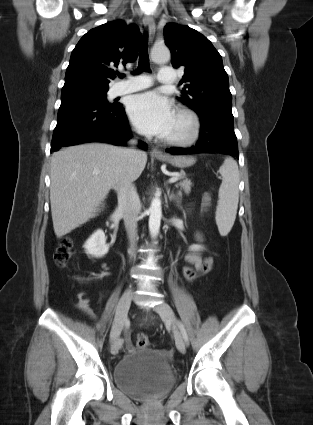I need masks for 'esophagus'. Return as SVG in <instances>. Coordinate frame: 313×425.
<instances>
[{
	"label": "esophagus",
	"mask_w": 313,
	"mask_h": 425,
	"mask_svg": "<svg viewBox=\"0 0 313 425\" xmlns=\"http://www.w3.org/2000/svg\"><path fill=\"white\" fill-rule=\"evenodd\" d=\"M143 24L148 29L150 38H152L155 34V29H156L154 18L151 15L144 16ZM151 154L155 157H164L165 156L164 153L156 147H153L151 149Z\"/></svg>",
	"instance_id": "34e87169"
}]
</instances>
